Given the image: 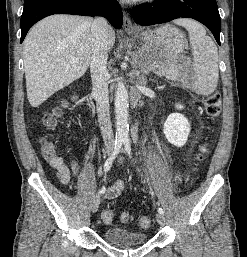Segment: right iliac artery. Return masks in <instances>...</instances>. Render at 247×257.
Masks as SVG:
<instances>
[{
	"label": "right iliac artery",
	"instance_id": "82829eb1",
	"mask_svg": "<svg viewBox=\"0 0 247 257\" xmlns=\"http://www.w3.org/2000/svg\"><path fill=\"white\" fill-rule=\"evenodd\" d=\"M122 142H123L122 139H116L115 144H114V150H113L112 154L107 158V160L105 161V164H104V172L105 173L110 170L115 157L120 152L121 147H122ZM105 189H106L105 186H103L100 189L99 193L103 194L105 192Z\"/></svg>",
	"mask_w": 247,
	"mask_h": 257
}]
</instances>
